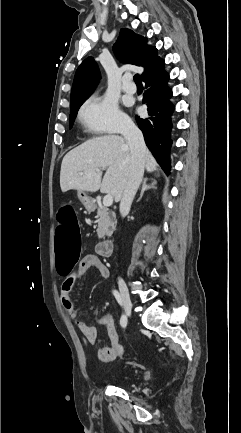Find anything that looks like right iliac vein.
<instances>
[{"label": "right iliac vein", "instance_id": "63e3f726", "mask_svg": "<svg viewBox=\"0 0 241 433\" xmlns=\"http://www.w3.org/2000/svg\"><path fill=\"white\" fill-rule=\"evenodd\" d=\"M121 302L127 316H131L132 303L128 288L124 282H119Z\"/></svg>", "mask_w": 241, "mask_h": 433}]
</instances>
